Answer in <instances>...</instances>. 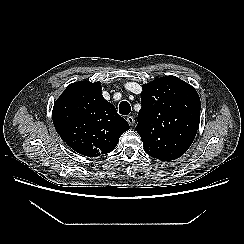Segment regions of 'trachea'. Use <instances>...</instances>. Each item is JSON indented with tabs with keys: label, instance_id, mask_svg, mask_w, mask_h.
Segmentation results:
<instances>
[{
	"label": "trachea",
	"instance_id": "1",
	"mask_svg": "<svg viewBox=\"0 0 244 244\" xmlns=\"http://www.w3.org/2000/svg\"><path fill=\"white\" fill-rule=\"evenodd\" d=\"M131 111V106L127 101H122L119 105V113L122 115H128Z\"/></svg>",
	"mask_w": 244,
	"mask_h": 244
}]
</instances>
